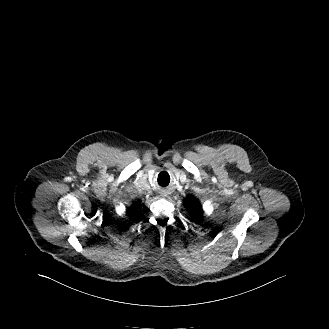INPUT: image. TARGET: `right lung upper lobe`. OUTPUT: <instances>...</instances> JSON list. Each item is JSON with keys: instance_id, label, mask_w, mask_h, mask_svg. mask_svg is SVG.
Masks as SVG:
<instances>
[{"instance_id": "cb5924a9", "label": "right lung upper lobe", "mask_w": 329, "mask_h": 329, "mask_svg": "<svg viewBox=\"0 0 329 329\" xmlns=\"http://www.w3.org/2000/svg\"><path fill=\"white\" fill-rule=\"evenodd\" d=\"M135 207H136V204H135V206H134L133 208H128V209H127L128 213H129V214L132 213L133 210L135 209Z\"/></svg>"}]
</instances>
